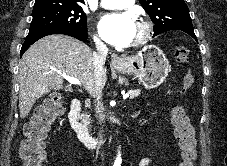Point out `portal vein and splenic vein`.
Listing matches in <instances>:
<instances>
[{
  "mask_svg": "<svg viewBox=\"0 0 227 166\" xmlns=\"http://www.w3.org/2000/svg\"><path fill=\"white\" fill-rule=\"evenodd\" d=\"M62 77H63L64 79H66L70 84H75V85L81 86L80 81H79L78 79L74 78V77H69V76H66V75H62ZM128 97H129V93H128V94H125V95L123 96V99H126V98H128Z\"/></svg>",
  "mask_w": 227,
  "mask_h": 166,
  "instance_id": "obj_1",
  "label": "portal vein and splenic vein"
}]
</instances>
